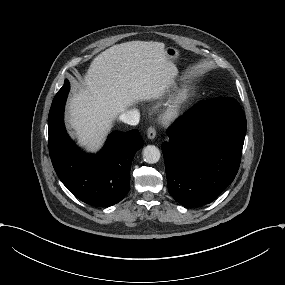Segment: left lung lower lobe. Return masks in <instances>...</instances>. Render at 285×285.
<instances>
[{
  "label": "left lung lower lobe",
  "mask_w": 285,
  "mask_h": 285,
  "mask_svg": "<svg viewBox=\"0 0 285 285\" xmlns=\"http://www.w3.org/2000/svg\"><path fill=\"white\" fill-rule=\"evenodd\" d=\"M246 133L234 98L202 101L179 117L162 143L168 189L186 207L215 200L234 180Z\"/></svg>",
  "instance_id": "left-lung-lower-lobe-1"
}]
</instances>
